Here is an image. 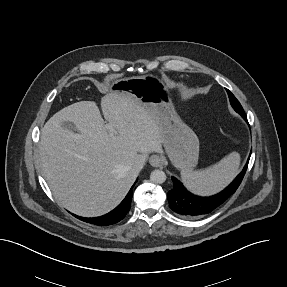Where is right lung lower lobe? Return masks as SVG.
<instances>
[{
  "label": "right lung lower lobe",
  "instance_id": "right-lung-lower-lobe-1",
  "mask_svg": "<svg viewBox=\"0 0 287 287\" xmlns=\"http://www.w3.org/2000/svg\"><path fill=\"white\" fill-rule=\"evenodd\" d=\"M133 196V191L132 188L128 192L127 196L124 198V200L120 203L119 206H117L114 210L109 212L106 215L100 216V217H94V218H85V217H80L76 216L78 219L91 223L97 226H108L112 225L115 223H118L121 221L126 214L128 213L130 206H131V199Z\"/></svg>",
  "mask_w": 287,
  "mask_h": 287
}]
</instances>
